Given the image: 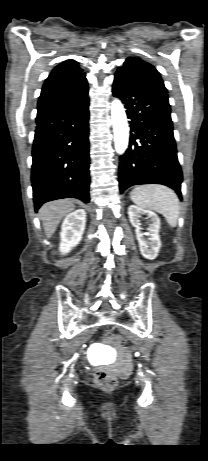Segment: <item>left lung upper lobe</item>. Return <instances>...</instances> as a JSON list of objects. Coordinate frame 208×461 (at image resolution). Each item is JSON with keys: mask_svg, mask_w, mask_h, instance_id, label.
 <instances>
[{"mask_svg": "<svg viewBox=\"0 0 208 461\" xmlns=\"http://www.w3.org/2000/svg\"><path fill=\"white\" fill-rule=\"evenodd\" d=\"M116 73H121L132 80L166 91L160 73L156 68L139 57H128Z\"/></svg>", "mask_w": 208, "mask_h": 461, "instance_id": "5c2ea615", "label": "left lung upper lobe"}]
</instances>
